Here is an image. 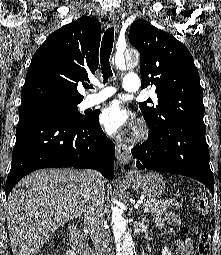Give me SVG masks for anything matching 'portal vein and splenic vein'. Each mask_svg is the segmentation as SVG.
Masks as SVG:
<instances>
[{
    "label": "portal vein and splenic vein",
    "mask_w": 221,
    "mask_h": 255,
    "mask_svg": "<svg viewBox=\"0 0 221 255\" xmlns=\"http://www.w3.org/2000/svg\"><path fill=\"white\" fill-rule=\"evenodd\" d=\"M139 204H141V202H138V203L135 205V208H136V209H138ZM148 210H149L148 207H145V208L143 209L144 212H148Z\"/></svg>",
    "instance_id": "obj_1"
}]
</instances>
